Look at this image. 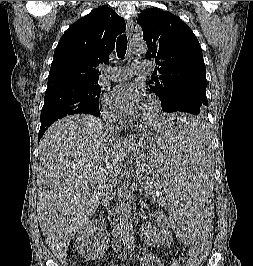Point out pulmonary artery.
Masks as SVG:
<instances>
[{
	"instance_id": "pulmonary-artery-1",
	"label": "pulmonary artery",
	"mask_w": 253,
	"mask_h": 266,
	"mask_svg": "<svg viewBox=\"0 0 253 266\" xmlns=\"http://www.w3.org/2000/svg\"><path fill=\"white\" fill-rule=\"evenodd\" d=\"M149 69V63L147 61L141 60L136 61L130 67L108 68V72L112 80L121 81L128 79L133 73H140Z\"/></svg>"
}]
</instances>
